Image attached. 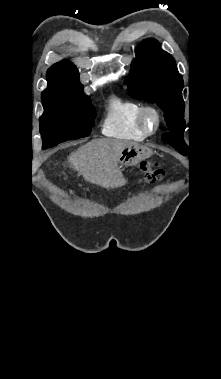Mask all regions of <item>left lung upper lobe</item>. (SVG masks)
I'll return each mask as SVG.
<instances>
[{
    "label": "left lung upper lobe",
    "mask_w": 221,
    "mask_h": 379,
    "mask_svg": "<svg viewBox=\"0 0 221 379\" xmlns=\"http://www.w3.org/2000/svg\"><path fill=\"white\" fill-rule=\"evenodd\" d=\"M136 59L127 78L129 94L136 99L156 103L164 112L170 132L162 140L171 144L182 155L189 147L184 141L186 123L185 103L182 98L183 79L174 58L160 48L155 39H146L135 50Z\"/></svg>",
    "instance_id": "5c2ea615"
}]
</instances>
